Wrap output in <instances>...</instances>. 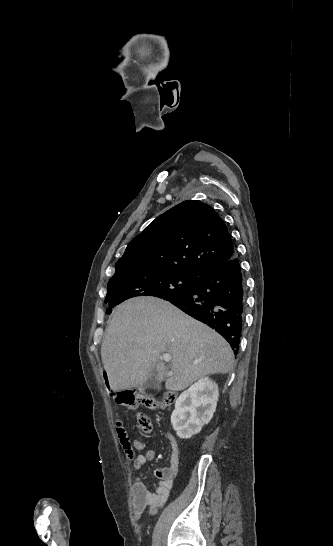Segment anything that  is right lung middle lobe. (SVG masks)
Here are the masks:
<instances>
[{"mask_svg": "<svg viewBox=\"0 0 333 546\" xmlns=\"http://www.w3.org/2000/svg\"><path fill=\"white\" fill-rule=\"evenodd\" d=\"M198 276L175 272L145 271L138 267L116 269L107 286L105 302L118 305L136 296H155L164 298L183 294L191 290Z\"/></svg>", "mask_w": 333, "mask_h": 546, "instance_id": "right-lung-middle-lobe-1", "label": "right lung middle lobe"}]
</instances>
